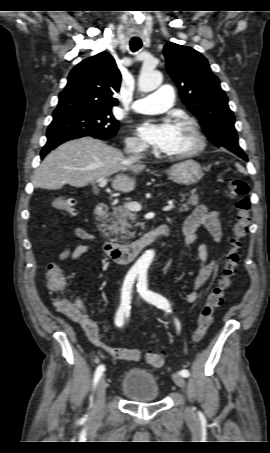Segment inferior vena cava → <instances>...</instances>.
<instances>
[{
	"label": "inferior vena cava",
	"instance_id": "602c4592",
	"mask_svg": "<svg viewBox=\"0 0 270 453\" xmlns=\"http://www.w3.org/2000/svg\"><path fill=\"white\" fill-rule=\"evenodd\" d=\"M126 152H129V149L126 150ZM139 159H140V156L137 155V154H136V155H131V156L129 157V160L132 161V162H137Z\"/></svg>",
	"mask_w": 270,
	"mask_h": 453
}]
</instances>
